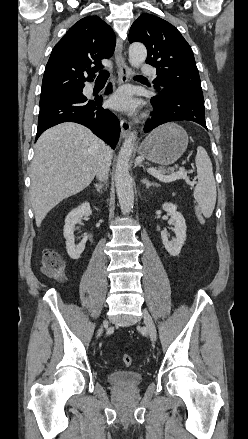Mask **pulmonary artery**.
<instances>
[{
	"instance_id": "1",
	"label": "pulmonary artery",
	"mask_w": 248,
	"mask_h": 439,
	"mask_svg": "<svg viewBox=\"0 0 248 439\" xmlns=\"http://www.w3.org/2000/svg\"><path fill=\"white\" fill-rule=\"evenodd\" d=\"M141 72H142V74L153 77V78L156 76L153 67H151L148 64H142Z\"/></svg>"
}]
</instances>
